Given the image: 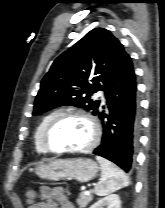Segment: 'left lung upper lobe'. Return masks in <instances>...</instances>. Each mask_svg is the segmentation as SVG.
I'll return each instance as SVG.
<instances>
[{
  "mask_svg": "<svg viewBox=\"0 0 165 208\" xmlns=\"http://www.w3.org/2000/svg\"><path fill=\"white\" fill-rule=\"evenodd\" d=\"M129 55L108 30L95 28L52 64L41 81L33 114L73 105L99 112L92 94L105 91Z\"/></svg>",
  "mask_w": 165,
  "mask_h": 208,
  "instance_id": "obj_1",
  "label": "left lung upper lobe"
}]
</instances>
